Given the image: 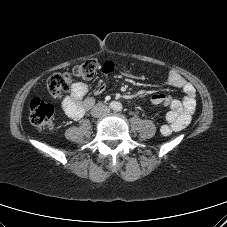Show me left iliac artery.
<instances>
[{
  "mask_svg": "<svg viewBox=\"0 0 227 227\" xmlns=\"http://www.w3.org/2000/svg\"><path fill=\"white\" fill-rule=\"evenodd\" d=\"M116 111H121L122 110V105L120 103L117 104L116 108H115Z\"/></svg>",
  "mask_w": 227,
  "mask_h": 227,
  "instance_id": "44dca946",
  "label": "left iliac artery"
}]
</instances>
